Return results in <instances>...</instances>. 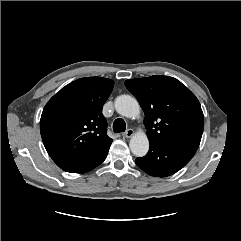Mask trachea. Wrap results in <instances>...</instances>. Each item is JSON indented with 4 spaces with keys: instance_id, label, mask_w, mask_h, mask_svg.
Masks as SVG:
<instances>
[{
    "instance_id": "trachea-1",
    "label": "trachea",
    "mask_w": 241,
    "mask_h": 241,
    "mask_svg": "<svg viewBox=\"0 0 241 241\" xmlns=\"http://www.w3.org/2000/svg\"><path fill=\"white\" fill-rule=\"evenodd\" d=\"M126 130V123L122 118H118L113 123V131L115 133L124 132Z\"/></svg>"
}]
</instances>
